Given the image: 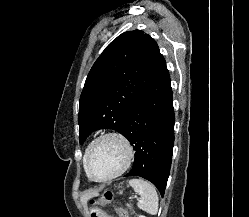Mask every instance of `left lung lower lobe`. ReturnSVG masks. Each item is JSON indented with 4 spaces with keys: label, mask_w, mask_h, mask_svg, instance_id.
<instances>
[{
    "label": "left lung lower lobe",
    "mask_w": 249,
    "mask_h": 217,
    "mask_svg": "<svg viewBox=\"0 0 249 217\" xmlns=\"http://www.w3.org/2000/svg\"><path fill=\"white\" fill-rule=\"evenodd\" d=\"M174 109L167 67L131 109L124 136L133 144L135 161L125 176L152 182L163 196L174 145Z\"/></svg>",
    "instance_id": "obj_1"
}]
</instances>
